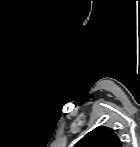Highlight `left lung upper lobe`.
I'll return each mask as SVG.
<instances>
[{
  "instance_id": "1",
  "label": "left lung upper lobe",
  "mask_w": 140,
  "mask_h": 147,
  "mask_svg": "<svg viewBox=\"0 0 140 147\" xmlns=\"http://www.w3.org/2000/svg\"><path fill=\"white\" fill-rule=\"evenodd\" d=\"M74 147H121V141L112 129L99 126L86 134Z\"/></svg>"
}]
</instances>
